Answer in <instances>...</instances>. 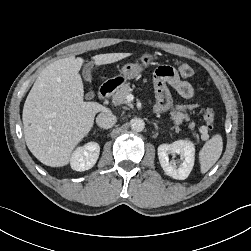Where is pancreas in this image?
Instances as JSON below:
<instances>
[{"label":"pancreas","mask_w":251,"mask_h":251,"mask_svg":"<svg viewBox=\"0 0 251 251\" xmlns=\"http://www.w3.org/2000/svg\"><path fill=\"white\" fill-rule=\"evenodd\" d=\"M132 92V89L130 87V84H124L121 86L120 89H118L112 96V101L116 105L120 104H127L129 106H132L130 102L127 101L126 97ZM170 119L174 122L175 125H180L184 120L189 121V115L187 113H181V112H171L170 113ZM190 130H194L195 123L194 121L190 122L188 125ZM193 136L196 138L197 141H199V135L193 132Z\"/></svg>","instance_id":"pancreas-1"}]
</instances>
